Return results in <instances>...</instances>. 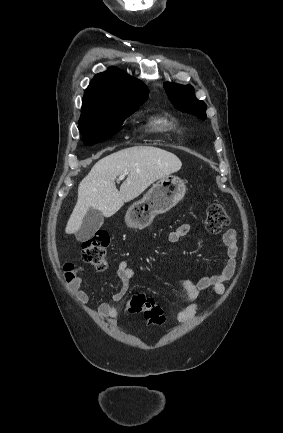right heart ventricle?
<instances>
[{
	"instance_id": "right-heart-ventricle-1",
	"label": "right heart ventricle",
	"mask_w": 283,
	"mask_h": 433,
	"mask_svg": "<svg viewBox=\"0 0 283 433\" xmlns=\"http://www.w3.org/2000/svg\"><path fill=\"white\" fill-rule=\"evenodd\" d=\"M146 125L153 132H165L173 128L174 123L167 117L158 116L148 119Z\"/></svg>"
}]
</instances>
